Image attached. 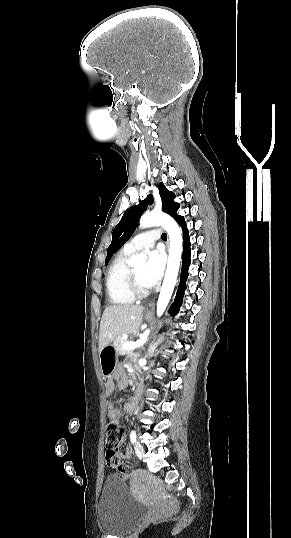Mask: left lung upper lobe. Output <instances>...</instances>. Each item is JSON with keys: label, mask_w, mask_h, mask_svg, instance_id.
Returning a JSON list of instances; mask_svg holds the SVG:
<instances>
[{"label": "left lung upper lobe", "mask_w": 291, "mask_h": 538, "mask_svg": "<svg viewBox=\"0 0 291 538\" xmlns=\"http://www.w3.org/2000/svg\"><path fill=\"white\" fill-rule=\"evenodd\" d=\"M159 194L162 200V210L172 216L175 220L180 217L177 214L179 204L174 202L175 195L173 192L166 189L163 183L159 184ZM153 203L152 195L141 201L138 205L130 207L123 214L120 222L116 225L112 234V242L107 250L105 265L108 264L111 256L115 253L132 235L137 222L142 213L147 209L148 204Z\"/></svg>", "instance_id": "obj_1"}]
</instances>
